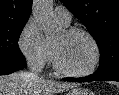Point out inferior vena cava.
Listing matches in <instances>:
<instances>
[{
    "instance_id": "602c4592",
    "label": "inferior vena cava",
    "mask_w": 119,
    "mask_h": 95,
    "mask_svg": "<svg viewBox=\"0 0 119 95\" xmlns=\"http://www.w3.org/2000/svg\"><path fill=\"white\" fill-rule=\"evenodd\" d=\"M28 77L32 78V79H36L38 78V75L36 73H33V72H29L28 73Z\"/></svg>"
}]
</instances>
